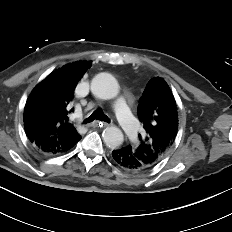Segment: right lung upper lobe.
<instances>
[{"label": "right lung upper lobe", "instance_id": "right-lung-upper-lobe-1", "mask_svg": "<svg viewBox=\"0 0 232 232\" xmlns=\"http://www.w3.org/2000/svg\"><path fill=\"white\" fill-rule=\"evenodd\" d=\"M91 61L67 64L50 73L30 93L24 108V129L29 141L38 151L56 155L70 150L80 139L68 122V104L78 80Z\"/></svg>", "mask_w": 232, "mask_h": 232}]
</instances>
